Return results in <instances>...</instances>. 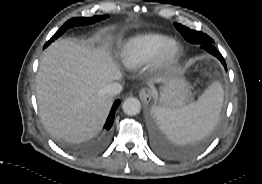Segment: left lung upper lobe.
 <instances>
[{
  "instance_id": "obj_1",
  "label": "left lung upper lobe",
  "mask_w": 262,
  "mask_h": 184,
  "mask_svg": "<svg viewBox=\"0 0 262 184\" xmlns=\"http://www.w3.org/2000/svg\"><path fill=\"white\" fill-rule=\"evenodd\" d=\"M174 25L188 42L195 43V44L213 43V39H211L205 33L191 30L188 27H185L178 23H175Z\"/></svg>"
}]
</instances>
